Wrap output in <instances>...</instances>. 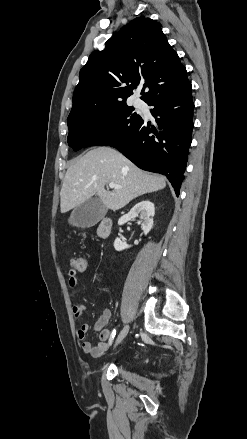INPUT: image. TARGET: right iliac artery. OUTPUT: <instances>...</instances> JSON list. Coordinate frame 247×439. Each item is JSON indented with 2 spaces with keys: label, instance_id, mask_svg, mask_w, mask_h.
Listing matches in <instances>:
<instances>
[{
  "label": "right iliac artery",
  "instance_id": "obj_1",
  "mask_svg": "<svg viewBox=\"0 0 247 439\" xmlns=\"http://www.w3.org/2000/svg\"><path fill=\"white\" fill-rule=\"evenodd\" d=\"M115 330L113 331V333H112V335H111V339H110V343H112V340H113V338H114V336H115Z\"/></svg>",
  "mask_w": 247,
  "mask_h": 439
}]
</instances>
